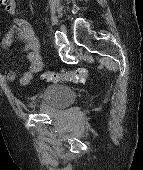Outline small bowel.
I'll return each mask as SVG.
<instances>
[{
	"label": "small bowel",
	"instance_id": "obj_1",
	"mask_svg": "<svg viewBox=\"0 0 143 170\" xmlns=\"http://www.w3.org/2000/svg\"><path fill=\"white\" fill-rule=\"evenodd\" d=\"M2 5L7 14H15L17 7L15 0H5V3ZM16 40L23 42V50L30 62L28 70L20 78V83L22 85H27L32 80L33 76L42 70L43 62L39 40L29 21L23 18H16L11 30L2 37L0 40V51L8 49ZM2 74L5 80L9 82L16 79V74L12 70L4 71Z\"/></svg>",
	"mask_w": 143,
	"mask_h": 170
}]
</instances>
